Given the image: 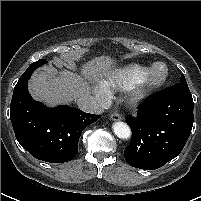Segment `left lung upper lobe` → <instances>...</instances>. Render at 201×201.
<instances>
[{
	"label": "left lung upper lobe",
	"instance_id": "obj_1",
	"mask_svg": "<svg viewBox=\"0 0 201 201\" xmlns=\"http://www.w3.org/2000/svg\"><path fill=\"white\" fill-rule=\"evenodd\" d=\"M180 83L181 84H187L184 74L181 75Z\"/></svg>",
	"mask_w": 201,
	"mask_h": 201
}]
</instances>
